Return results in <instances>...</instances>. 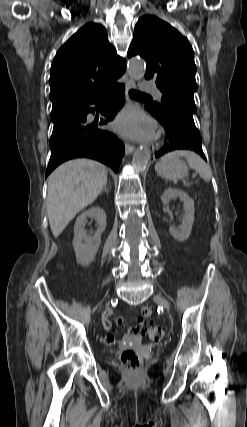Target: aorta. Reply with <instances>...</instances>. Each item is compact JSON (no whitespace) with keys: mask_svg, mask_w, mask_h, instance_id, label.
<instances>
[{"mask_svg":"<svg viewBox=\"0 0 247 427\" xmlns=\"http://www.w3.org/2000/svg\"><path fill=\"white\" fill-rule=\"evenodd\" d=\"M146 66L137 59H131L128 63L127 72L130 77L141 78L144 76ZM151 152L148 148H140L135 151L132 164L136 170H144L150 160Z\"/></svg>","mask_w":247,"mask_h":427,"instance_id":"obj_1","label":"aorta"}]
</instances>
